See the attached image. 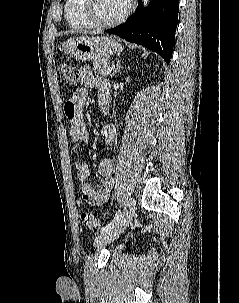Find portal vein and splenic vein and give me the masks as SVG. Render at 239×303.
Wrapping results in <instances>:
<instances>
[{
  "instance_id": "obj_1",
  "label": "portal vein and splenic vein",
  "mask_w": 239,
  "mask_h": 303,
  "mask_svg": "<svg viewBox=\"0 0 239 303\" xmlns=\"http://www.w3.org/2000/svg\"><path fill=\"white\" fill-rule=\"evenodd\" d=\"M108 69H109V71H111V70H112V68H111L110 66H108Z\"/></svg>"
}]
</instances>
